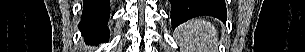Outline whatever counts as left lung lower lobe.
Segmentation results:
<instances>
[{
    "label": "left lung lower lobe",
    "instance_id": "1",
    "mask_svg": "<svg viewBox=\"0 0 305 52\" xmlns=\"http://www.w3.org/2000/svg\"><path fill=\"white\" fill-rule=\"evenodd\" d=\"M171 2V21L175 28L177 16L189 9H200L205 15L213 16L225 21L227 18L224 0H169Z\"/></svg>",
    "mask_w": 305,
    "mask_h": 52
}]
</instances>
